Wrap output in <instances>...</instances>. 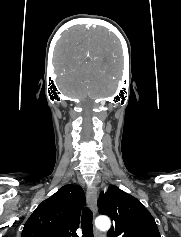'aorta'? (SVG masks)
Returning <instances> with one entry per match:
<instances>
[{
  "mask_svg": "<svg viewBox=\"0 0 181 237\" xmlns=\"http://www.w3.org/2000/svg\"><path fill=\"white\" fill-rule=\"evenodd\" d=\"M95 225L98 229L106 231L110 228L111 222L107 216H99L95 220Z\"/></svg>",
  "mask_w": 181,
  "mask_h": 237,
  "instance_id": "762f6f07",
  "label": "aorta"
}]
</instances>
